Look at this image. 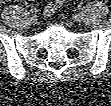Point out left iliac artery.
I'll list each match as a JSON object with an SVG mask.
<instances>
[{
  "instance_id": "left-iliac-artery-1",
  "label": "left iliac artery",
  "mask_w": 111,
  "mask_h": 106,
  "mask_svg": "<svg viewBox=\"0 0 111 106\" xmlns=\"http://www.w3.org/2000/svg\"><path fill=\"white\" fill-rule=\"evenodd\" d=\"M82 8V6L81 5H78V9H81Z\"/></svg>"
}]
</instances>
